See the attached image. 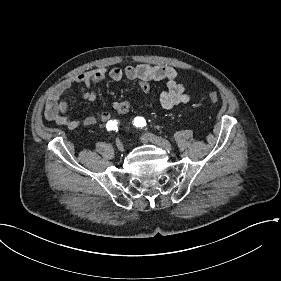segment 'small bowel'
I'll return each instance as SVG.
<instances>
[{"label": "small bowel", "instance_id": "1", "mask_svg": "<svg viewBox=\"0 0 281 281\" xmlns=\"http://www.w3.org/2000/svg\"><path fill=\"white\" fill-rule=\"evenodd\" d=\"M107 77L114 81H120L123 78L139 80V87L144 93L150 91L149 81L166 80L167 91L161 94L160 104L167 110L173 109L179 104L186 103L190 99V95L187 93L185 85L180 80L177 70L171 66L139 64L127 65L124 68H98L63 80L46 103V119L70 130L109 122L111 120V115L108 112H101L83 119L68 116L69 103L67 99L63 97L64 93L68 91L72 85L78 84L80 86L79 92L83 100L94 102L97 99V94L91 89V86L103 81ZM113 108L119 115H125L129 111V104L125 101H116L113 103Z\"/></svg>", "mask_w": 281, "mask_h": 281}]
</instances>
